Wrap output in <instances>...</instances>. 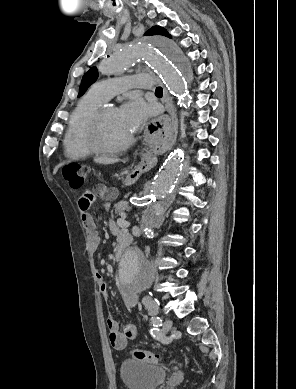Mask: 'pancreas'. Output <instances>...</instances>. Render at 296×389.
Wrapping results in <instances>:
<instances>
[{
  "label": "pancreas",
  "mask_w": 296,
  "mask_h": 389,
  "mask_svg": "<svg viewBox=\"0 0 296 389\" xmlns=\"http://www.w3.org/2000/svg\"><path fill=\"white\" fill-rule=\"evenodd\" d=\"M115 213L121 217H125V211L130 209L128 202L120 201L114 205Z\"/></svg>",
  "instance_id": "1"
}]
</instances>
